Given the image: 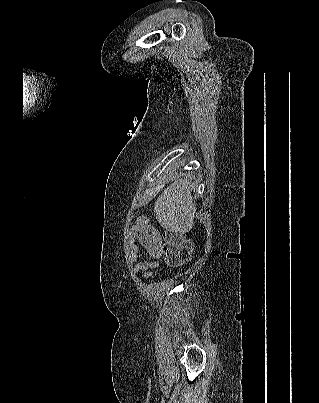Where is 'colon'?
<instances>
[{"label":"colon","mask_w":319,"mask_h":403,"mask_svg":"<svg viewBox=\"0 0 319 403\" xmlns=\"http://www.w3.org/2000/svg\"><path fill=\"white\" fill-rule=\"evenodd\" d=\"M136 231L140 237L137 240V247L147 248L152 260L159 258L162 253L165 254L168 264L174 267L191 260L193 243L180 234L166 232L161 236L144 218L139 219Z\"/></svg>","instance_id":"obj_1"}]
</instances>
